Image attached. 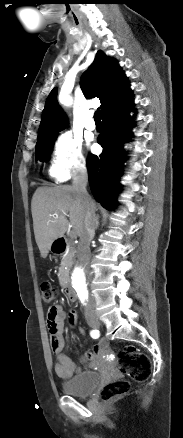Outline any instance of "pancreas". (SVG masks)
Wrapping results in <instances>:
<instances>
[{
    "instance_id": "pancreas-1",
    "label": "pancreas",
    "mask_w": 183,
    "mask_h": 438,
    "mask_svg": "<svg viewBox=\"0 0 183 438\" xmlns=\"http://www.w3.org/2000/svg\"><path fill=\"white\" fill-rule=\"evenodd\" d=\"M74 256H75V250L72 249L66 254V256H64L62 258L61 267H60V275H59L60 280L62 279V275L65 272L64 267H69L72 265V263L74 261Z\"/></svg>"
}]
</instances>
